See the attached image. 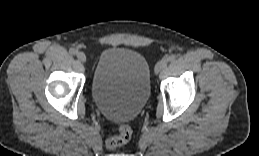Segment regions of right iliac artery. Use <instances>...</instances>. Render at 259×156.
Wrapping results in <instances>:
<instances>
[{"label":"right iliac artery","instance_id":"right-iliac-artery-1","mask_svg":"<svg viewBox=\"0 0 259 156\" xmlns=\"http://www.w3.org/2000/svg\"><path fill=\"white\" fill-rule=\"evenodd\" d=\"M69 52L72 55H75L77 53V51L74 48H70Z\"/></svg>","mask_w":259,"mask_h":156}]
</instances>
